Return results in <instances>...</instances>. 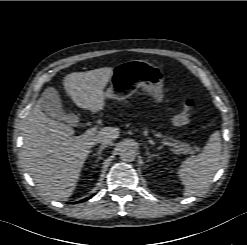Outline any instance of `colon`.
Segmentation results:
<instances>
[{
	"instance_id": "colon-1",
	"label": "colon",
	"mask_w": 247,
	"mask_h": 245,
	"mask_svg": "<svg viewBox=\"0 0 247 245\" xmlns=\"http://www.w3.org/2000/svg\"><path fill=\"white\" fill-rule=\"evenodd\" d=\"M193 109L194 101L190 98L185 99L183 102L182 110L174 116L173 123L176 126L186 125L190 121Z\"/></svg>"
}]
</instances>
